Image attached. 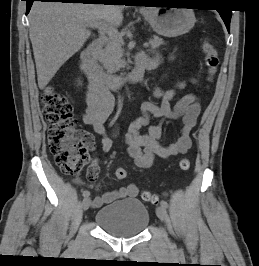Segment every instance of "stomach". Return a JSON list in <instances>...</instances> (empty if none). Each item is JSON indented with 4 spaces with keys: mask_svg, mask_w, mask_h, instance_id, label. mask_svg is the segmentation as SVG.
Wrapping results in <instances>:
<instances>
[{
    "mask_svg": "<svg viewBox=\"0 0 259 266\" xmlns=\"http://www.w3.org/2000/svg\"><path fill=\"white\" fill-rule=\"evenodd\" d=\"M153 31L164 37H176L188 33L195 25L192 9L154 7L143 12Z\"/></svg>",
    "mask_w": 259,
    "mask_h": 266,
    "instance_id": "0dacf381",
    "label": "stomach"
}]
</instances>
